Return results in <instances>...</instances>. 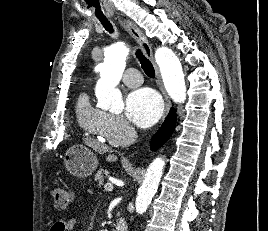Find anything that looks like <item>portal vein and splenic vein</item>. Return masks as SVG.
<instances>
[{
	"label": "portal vein and splenic vein",
	"instance_id": "obj_1",
	"mask_svg": "<svg viewBox=\"0 0 268 231\" xmlns=\"http://www.w3.org/2000/svg\"><path fill=\"white\" fill-rule=\"evenodd\" d=\"M104 189H105V191H107V192H111V191L113 190V185H112L110 182H108V183H106V184L104 185Z\"/></svg>",
	"mask_w": 268,
	"mask_h": 231
}]
</instances>
